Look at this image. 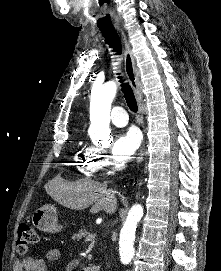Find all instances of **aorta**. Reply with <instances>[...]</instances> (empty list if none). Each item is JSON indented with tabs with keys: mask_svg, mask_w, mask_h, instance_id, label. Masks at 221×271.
I'll use <instances>...</instances> for the list:
<instances>
[{
	"mask_svg": "<svg viewBox=\"0 0 221 271\" xmlns=\"http://www.w3.org/2000/svg\"><path fill=\"white\" fill-rule=\"evenodd\" d=\"M117 85L115 82H107L92 95V122L96 130L109 131L111 103L115 98ZM143 216V207L135 204L129 210L126 221L120 231L119 254L123 264H129L134 256V241L137 223Z\"/></svg>",
	"mask_w": 221,
	"mask_h": 271,
	"instance_id": "762f6f07",
	"label": "aorta"
}]
</instances>
